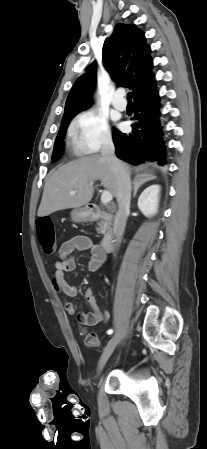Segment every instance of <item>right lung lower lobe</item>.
<instances>
[{"label": "right lung lower lobe", "instance_id": "right-lung-lower-lobe-1", "mask_svg": "<svg viewBox=\"0 0 207 449\" xmlns=\"http://www.w3.org/2000/svg\"><path fill=\"white\" fill-rule=\"evenodd\" d=\"M134 117L131 133L113 130L115 153L134 165L144 161L166 163V145L160 122V103L156 87L134 98Z\"/></svg>", "mask_w": 207, "mask_h": 449}]
</instances>
